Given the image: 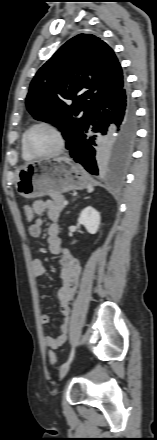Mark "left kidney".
<instances>
[{
	"label": "left kidney",
	"mask_w": 157,
	"mask_h": 440,
	"mask_svg": "<svg viewBox=\"0 0 157 440\" xmlns=\"http://www.w3.org/2000/svg\"><path fill=\"white\" fill-rule=\"evenodd\" d=\"M100 213L93 207H86L78 218V222L82 224L88 233L96 234L100 226Z\"/></svg>",
	"instance_id": "obj_1"
}]
</instances>
